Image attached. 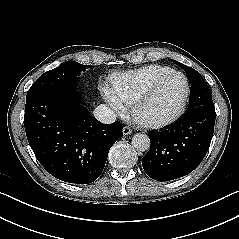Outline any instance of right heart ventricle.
Returning a JSON list of instances; mask_svg holds the SVG:
<instances>
[{
	"label": "right heart ventricle",
	"instance_id": "right-heart-ventricle-1",
	"mask_svg": "<svg viewBox=\"0 0 239 239\" xmlns=\"http://www.w3.org/2000/svg\"><path fill=\"white\" fill-rule=\"evenodd\" d=\"M169 71L168 67L152 64L116 74L110 81L112 91L124 105H131L157 77Z\"/></svg>",
	"mask_w": 239,
	"mask_h": 239
}]
</instances>
